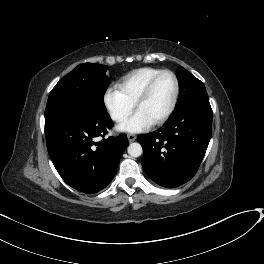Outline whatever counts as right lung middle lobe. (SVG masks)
<instances>
[{
	"label": "right lung middle lobe",
	"instance_id": "dd1d6c3e",
	"mask_svg": "<svg viewBox=\"0 0 264 264\" xmlns=\"http://www.w3.org/2000/svg\"><path fill=\"white\" fill-rule=\"evenodd\" d=\"M107 69L106 65L83 63L66 74L49 94L45 119L84 111L107 112Z\"/></svg>",
	"mask_w": 264,
	"mask_h": 264
}]
</instances>
